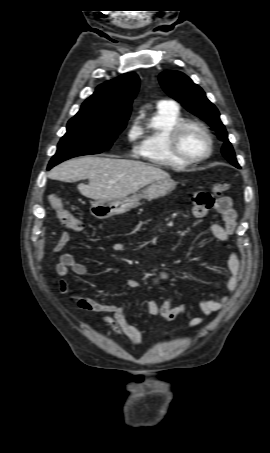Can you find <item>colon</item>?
Returning <instances> with one entry per match:
<instances>
[{
  "label": "colon",
  "instance_id": "5ec220e1",
  "mask_svg": "<svg viewBox=\"0 0 270 453\" xmlns=\"http://www.w3.org/2000/svg\"><path fill=\"white\" fill-rule=\"evenodd\" d=\"M229 189L227 182L219 181L213 184V193L215 195H222ZM195 201L210 207L213 203V199L210 194L198 193L195 197ZM49 203L52 210L55 212L58 220L69 230L74 232H81L84 230V222L70 210H68L63 200L56 195L49 196Z\"/></svg>",
  "mask_w": 270,
  "mask_h": 453
}]
</instances>
